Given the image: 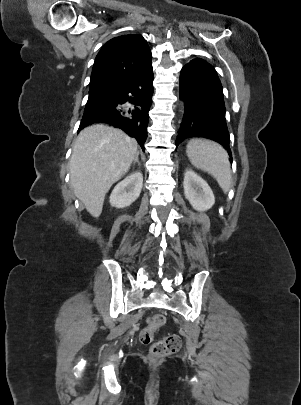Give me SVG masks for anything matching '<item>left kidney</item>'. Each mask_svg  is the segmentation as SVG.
Instances as JSON below:
<instances>
[{
  "mask_svg": "<svg viewBox=\"0 0 301 405\" xmlns=\"http://www.w3.org/2000/svg\"><path fill=\"white\" fill-rule=\"evenodd\" d=\"M185 198L198 211L210 209L214 203V194L205 180L192 170H187L183 181Z\"/></svg>",
  "mask_w": 301,
  "mask_h": 405,
  "instance_id": "left-kidney-1",
  "label": "left kidney"
}]
</instances>
